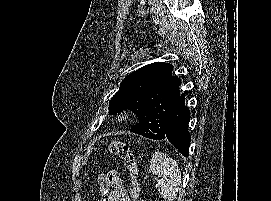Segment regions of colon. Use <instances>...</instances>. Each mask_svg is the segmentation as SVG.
I'll list each match as a JSON object with an SVG mask.
<instances>
[{
	"label": "colon",
	"mask_w": 271,
	"mask_h": 201,
	"mask_svg": "<svg viewBox=\"0 0 271 201\" xmlns=\"http://www.w3.org/2000/svg\"><path fill=\"white\" fill-rule=\"evenodd\" d=\"M109 152L117 156L130 174L133 182V201H135L138 191V167L135 155L128 143L114 141L109 146Z\"/></svg>",
	"instance_id": "colon-1"
}]
</instances>
